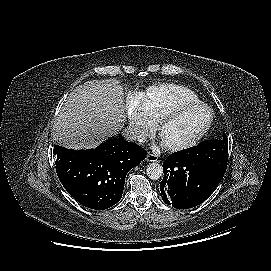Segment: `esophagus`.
I'll return each instance as SVG.
<instances>
[{"label": "esophagus", "instance_id": "obj_1", "mask_svg": "<svg viewBox=\"0 0 271 271\" xmlns=\"http://www.w3.org/2000/svg\"><path fill=\"white\" fill-rule=\"evenodd\" d=\"M146 161L148 162H160L161 158L155 154L152 153H148L147 157H146Z\"/></svg>", "mask_w": 271, "mask_h": 271}]
</instances>
